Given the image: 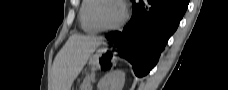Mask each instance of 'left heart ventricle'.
<instances>
[{"label":"left heart ventricle","instance_id":"left-heart-ventricle-1","mask_svg":"<svg viewBox=\"0 0 228 90\" xmlns=\"http://www.w3.org/2000/svg\"><path fill=\"white\" fill-rule=\"evenodd\" d=\"M122 16V7L115 2H104L98 10V17L104 25L117 23Z\"/></svg>","mask_w":228,"mask_h":90}]
</instances>
